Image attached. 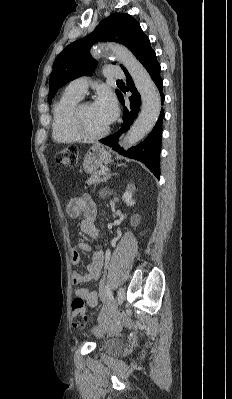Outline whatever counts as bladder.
Instances as JSON below:
<instances>
[{
	"label": "bladder",
	"mask_w": 232,
	"mask_h": 399,
	"mask_svg": "<svg viewBox=\"0 0 232 399\" xmlns=\"http://www.w3.org/2000/svg\"><path fill=\"white\" fill-rule=\"evenodd\" d=\"M119 343L115 340H109L103 344L102 349L106 353H116L119 351Z\"/></svg>",
	"instance_id": "1"
}]
</instances>
